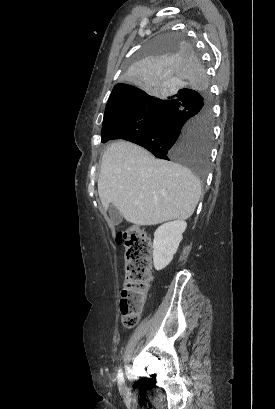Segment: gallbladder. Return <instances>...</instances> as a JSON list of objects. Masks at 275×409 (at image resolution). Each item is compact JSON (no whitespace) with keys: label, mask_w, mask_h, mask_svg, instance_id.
Masks as SVG:
<instances>
[{"label":"gallbladder","mask_w":275,"mask_h":409,"mask_svg":"<svg viewBox=\"0 0 275 409\" xmlns=\"http://www.w3.org/2000/svg\"><path fill=\"white\" fill-rule=\"evenodd\" d=\"M108 211H109V215H110V221L112 223V225H119V223H122L123 221V215H121V213H119L118 209H116V207H114V205H110V207H108Z\"/></svg>","instance_id":"gallbladder-1"}]
</instances>
